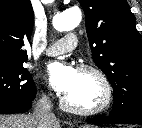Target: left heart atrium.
<instances>
[{
	"instance_id": "left-heart-atrium-1",
	"label": "left heart atrium",
	"mask_w": 142,
	"mask_h": 128,
	"mask_svg": "<svg viewBox=\"0 0 142 128\" xmlns=\"http://www.w3.org/2000/svg\"><path fill=\"white\" fill-rule=\"evenodd\" d=\"M47 79L58 93L68 96L78 84L79 71L66 63L55 62L47 68Z\"/></svg>"
}]
</instances>
